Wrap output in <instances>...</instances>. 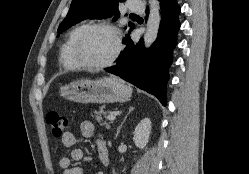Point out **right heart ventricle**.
Returning <instances> with one entry per match:
<instances>
[{
  "instance_id": "1",
  "label": "right heart ventricle",
  "mask_w": 249,
  "mask_h": 174,
  "mask_svg": "<svg viewBox=\"0 0 249 174\" xmlns=\"http://www.w3.org/2000/svg\"><path fill=\"white\" fill-rule=\"evenodd\" d=\"M85 28L84 24L78 25L75 28H73L65 43L62 46L61 49V62L62 65L69 70H77L80 68V66L77 64L74 56H73V46L75 43L76 38L81 33V31Z\"/></svg>"
}]
</instances>
